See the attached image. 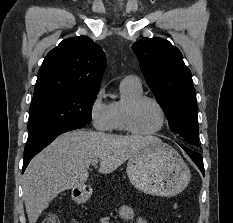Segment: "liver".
Listing matches in <instances>:
<instances>
[{"instance_id": "obj_1", "label": "liver", "mask_w": 233, "mask_h": 223, "mask_svg": "<svg viewBox=\"0 0 233 223\" xmlns=\"http://www.w3.org/2000/svg\"><path fill=\"white\" fill-rule=\"evenodd\" d=\"M152 141L161 139L154 135H111L84 129L62 133L31 159L23 173L28 223H36L60 191L85 185L93 159H99V173H112Z\"/></svg>"}]
</instances>
